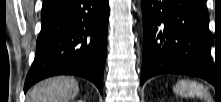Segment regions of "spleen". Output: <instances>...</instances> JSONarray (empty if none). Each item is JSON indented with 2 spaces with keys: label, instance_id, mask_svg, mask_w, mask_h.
Here are the masks:
<instances>
[{
  "label": "spleen",
  "instance_id": "obj_1",
  "mask_svg": "<svg viewBox=\"0 0 221 102\" xmlns=\"http://www.w3.org/2000/svg\"><path fill=\"white\" fill-rule=\"evenodd\" d=\"M174 92L182 97H208V92L202 84L190 80L178 81L174 87Z\"/></svg>",
  "mask_w": 221,
  "mask_h": 102
}]
</instances>
